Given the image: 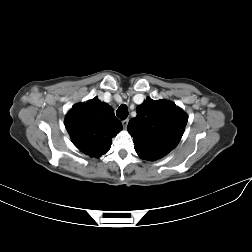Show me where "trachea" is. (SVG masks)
I'll return each mask as SVG.
<instances>
[{"instance_id": "1", "label": "trachea", "mask_w": 252, "mask_h": 252, "mask_svg": "<svg viewBox=\"0 0 252 252\" xmlns=\"http://www.w3.org/2000/svg\"><path fill=\"white\" fill-rule=\"evenodd\" d=\"M118 118L124 120L128 117V108L125 104H122L116 111Z\"/></svg>"}]
</instances>
